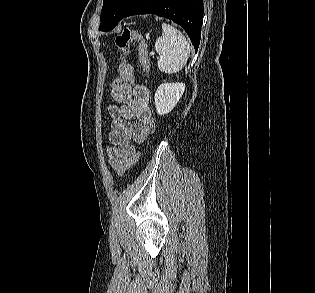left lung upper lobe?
<instances>
[{
	"instance_id": "left-lung-upper-lobe-1",
	"label": "left lung upper lobe",
	"mask_w": 315,
	"mask_h": 293,
	"mask_svg": "<svg viewBox=\"0 0 315 293\" xmlns=\"http://www.w3.org/2000/svg\"><path fill=\"white\" fill-rule=\"evenodd\" d=\"M139 0H103L100 30H112Z\"/></svg>"
}]
</instances>
